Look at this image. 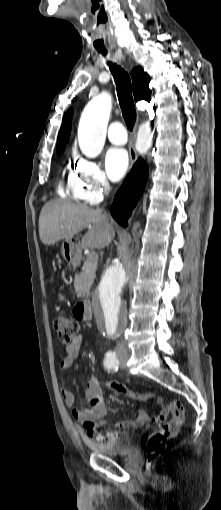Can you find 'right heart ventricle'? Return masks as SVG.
<instances>
[{"label": "right heart ventricle", "mask_w": 221, "mask_h": 510, "mask_svg": "<svg viewBox=\"0 0 221 510\" xmlns=\"http://www.w3.org/2000/svg\"><path fill=\"white\" fill-rule=\"evenodd\" d=\"M72 173V172H71ZM71 173L69 174L66 181H61L58 185V194L66 199L76 198V195L73 190L72 181H71Z\"/></svg>", "instance_id": "1"}]
</instances>
